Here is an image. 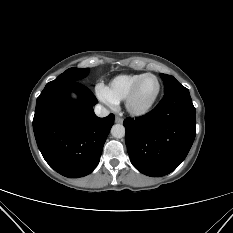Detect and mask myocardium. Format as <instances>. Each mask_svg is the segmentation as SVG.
Returning <instances> with one entry per match:
<instances>
[{"mask_svg": "<svg viewBox=\"0 0 233 233\" xmlns=\"http://www.w3.org/2000/svg\"><path fill=\"white\" fill-rule=\"evenodd\" d=\"M148 77H152L157 81V92L155 94V96L153 97V99L145 106L142 107H137L134 105V99L136 97L137 91L141 85V83L143 82L144 79L148 78ZM161 93V82L159 80V78L151 73H147L144 74L142 77H140L136 83L133 85V87L131 88L129 94L127 95L126 99H125V109L126 111L134 116V117H142L146 114H148L153 107L155 106L159 96Z\"/></svg>", "mask_w": 233, "mask_h": 233, "instance_id": "f54148a6", "label": "myocardium"}]
</instances>
